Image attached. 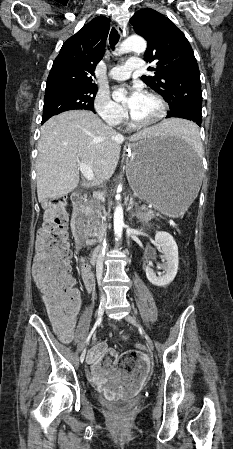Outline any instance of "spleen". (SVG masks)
<instances>
[{
    "label": "spleen",
    "instance_id": "3e777b00",
    "mask_svg": "<svg viewBox=\"0 0 233 449\" xmlns=\"http://www.w3.org/2000/svg\"><path fill=\"white\" fill-rule=\"evenodd\" d=\"M174 138H177L178 142H188L197 146L199 143L197 124L179 125V130L177 131V134H174Z\"/></svg>",
    "mask_w": 233,
    "mask_h": 449
}]
</instances>
